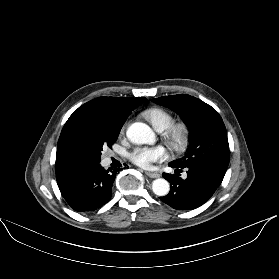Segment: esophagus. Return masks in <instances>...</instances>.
<instances>
[{"label": "esophagus", "mask_w": 279, "mask_h": 279, "mask_svg": "<svg viewBox=\"0 0 279 279\" xmlns=\"http://www.w3.org/2000/svg\"><path fill=\"white\" fill-rule=\"evenodd\" d=\"M145 174L150 177V178H158L160 177V174L159 173H156V172H149V171H146Z\"/></svg>", "instance_id": "1"}]
</instances>
